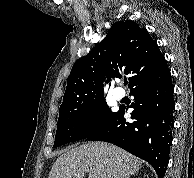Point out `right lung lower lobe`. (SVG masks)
<instances>
[{"label":"right lung lower lobe","instance_id":"right-lung-lower-lobe-1","mask_svg":"<svg viewBox=\"0 0 194 178\" xmlns=\"http://www.w3.org/2000/svg\"><path fill=\"white\" fill-rule=\"evenodd\" d=\"M173 91L168 69L159 78L131 90L135 99L131 105L133 122H126V108L120 107L86 139L114 143L150 163L158 178H163L172 143Z\"/></svg>","mask_w":194,"mask_h":178}]
</instances>
